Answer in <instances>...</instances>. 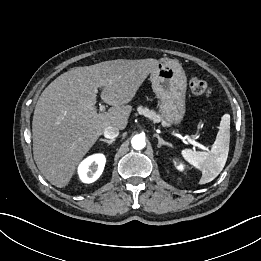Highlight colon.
I'll use <instances>...</instances> for the list:
<instances>
[{
	"instance_id": "obj_1",
	"label": "colon",
	"mask_w": 261,
	"mask_h": 261,
	"mask_svg": "<svg viewBox=\"0 0 261 261\" xmlns=\"http://www.w3.org/2000/svg\"><path fill=\"white\" fill-rule=\"evenodd\" d=\"M191 92L196 96H209L211 94L210 85L200 77L194 76L189 81Z\"/></svg>"
}]
</instances>
